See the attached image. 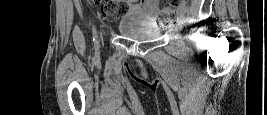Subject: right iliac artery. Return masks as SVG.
Listing matches in <instances>:
<instances>
[{
    "label": "right iliac artery",
    "mask_w": 267,
    "mask_h": 115,
    "mask_svg": "<svg viewBox=\"0 0 267 115\" xmlns=\"http://www.w3.org/2000/svg\"><path fill=\"white\" fill-rule=\"evenodd\" d=\"M96 30H95V28H93V40L95 41V39H96Z\"/></svg>",
    "instance_id": "82829eb1"
}]
</instances>
